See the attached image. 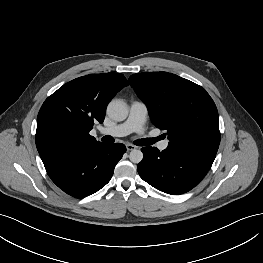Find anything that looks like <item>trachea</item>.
Masks as SVG:
<instances>
[{
    "instance_id": "1",
    "label": "trachea",
    "mask_w": 263,
    "mask_h": 263,
    "mask_svg": "<svg viewBox=\"0 0 263 263\" xmlns=\"http://www.w3.org/2000/svg\"><path fill=\"white\" fill-rule=\"evenodd\" d=\"M112 137L110 136H105L103 138V141L105 142H112L111 141ZM159 138H145V139H139L136 141V145H139V146H147V145H151L153 143H155L156 141H158Z\"/></svg>"
}]
</instances>
